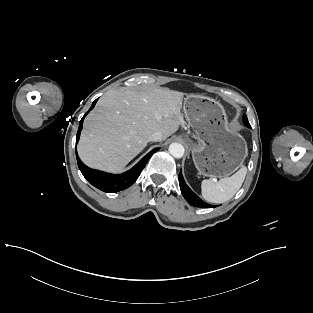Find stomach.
I'll use <instances>...</instances> for the list:
<instances>
[{
	"mask_svg": "<svg viewBox=\"0 0 313 313\" xmlns=\"http://www.w3.org/2000/svg\"><path fill=\"white\" fill-rule=\"evenodd\" d=\"M183 111L195 142L186 138L198 173L207 177H227L242 166L248 155L245 139L231 129L224 107L216 100L189 95Z\"/></svg>",
	"mask_w": 313,
	"mask_h": 313,
	"instance_id": "obj_1",
	"label": "stomach"
}]
</instances>
